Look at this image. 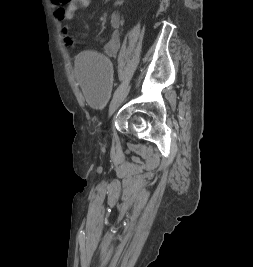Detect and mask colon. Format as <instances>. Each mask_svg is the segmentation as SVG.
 Instances as JSON below:
<instances>
[{"instance_id": "obj_1", "label": "colon", "mask_w": 253, "mask_h": 267, "mask_svg": "<svg viewBox=\"0 0 253 267\" xmlns=\"http://www.w3.org/2000/svg\"><path fill=\"white\" fill-rule=\"evenodd\" d=\"M66 32H67L66 29H64V30H63V34H66Z\"/></svg>"}]
</instances>
